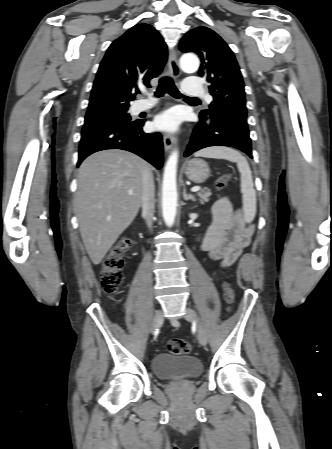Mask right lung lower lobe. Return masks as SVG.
<instances>
[{"label":"right lung lower lobe","mask_w":332,"mask_h":449,"mask_svg":"<svg viewBox=\"0 0 332 449\" xmlns=\"http://www.w3.org/2000/svg\"><path fill=\"white\" fill-rule=\"evenodd\" d=\"M144 122L145 120L110 122L83 127L77 165L94 152L122 149L141 156L160 169L163 166L162 136L160 133H144Z\"/></svg>","instance_id":"right-lung-lower-lobe-1"}]
</instances>
